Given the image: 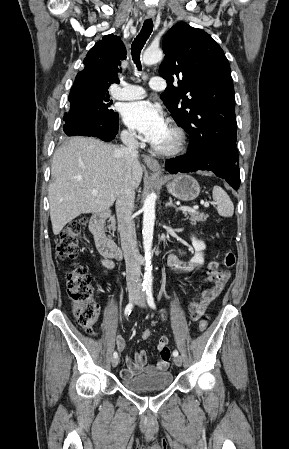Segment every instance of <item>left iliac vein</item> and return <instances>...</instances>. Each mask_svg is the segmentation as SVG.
<instances>
[{"label": "left iliac vein", "instance_id": "4c4485c4", "mask_svg": "<svg viewBox=\"0 0 289 449\" xmlns=\"http://www.w3.org/2000/svg\"><path fill=\"white\" fill-rule=\"evenodd\" d=\"M137 304L141 307H145L146 303H145V297L144 295H140ZM174 363L176 366H181L182 365V358L180 356H176L174 357Z\"/></svg>", "mask_w": 289, "mask_h": 449}]
</instances>
